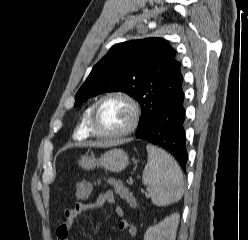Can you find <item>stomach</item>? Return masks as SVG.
<instances>
[{
    "instance_id": "0dacf381",
    "label": "stomach",
    "mask_w": 248,
    "mask_h": 240,
    "mask_svg": "<svg viewBox=\"0 0 248 240\" xmlns=\"http://www.w3.org/2000/svg\"><path fill=\"white\" fill-rule=\"evenodd\" d=\"M78 164L86 170L102 167L111 172H120L129 164V158L124 150L115 148L107 151L100 158H95L94 155L81 156Z\"/></svg>"
}]
</instances>
